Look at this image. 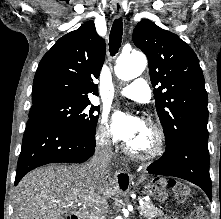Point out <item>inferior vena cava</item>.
Masks as SVG:
<instances>
[{"instance_id": "obj_1", "label": "inferior vena cava", "mask_w": 221, "mask_h": 219, "mask_svg": "<svg viewBox=\"0 0 221 219\" xmlns=\"http://www.w3.org/2000/svg\"><path fill=\"white\" fill-rule=\"evenodd\" d=\"M113 154L112 144L106 139H100L95 148V154L89 162V167L97 177H106L108 166Z\"/></svg>"}]
</instances>
